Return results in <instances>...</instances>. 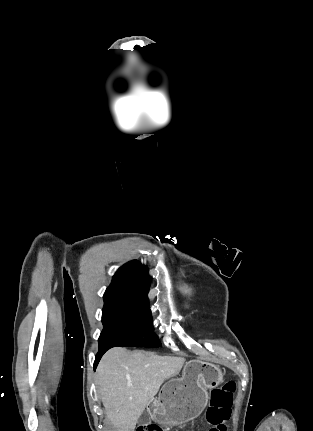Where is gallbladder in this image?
Returning <instances> with one entry per match:
<instances>
[{"label": "gallbladder", "instance_id": "1", "mask_svg": "<svg viewBox=\"0 0 313 431\" xmlns=\"http://www.w3.org/2000/svg\"><path fill=\"white\" fill-rule=\"evenodd\" d=\"M141 421H142L144 424H147V423L150 421V416H149L148 412H144V413L142 414V416H141Z\"/></svg>", "mask_w": 313, "mask_h": 431}]
</instances>
